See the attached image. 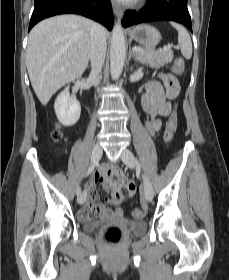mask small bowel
Instances as JSON below:
<instances>
[{
  "instance_id": "1",
  "label": "small bowel",
  "mask_w": 229,
  "mask_h": 280,
  "mask_svg": "<svg viewBox=\"0 0 229 280\" xmlns=\"http://www.w3.org/2000/svg\"><path fill=\"white\" fill-rule=\"evenodd\" d=\"M184 69V64L179 67L177 61L174 64V71L181 74ZM168 99H172L168 94L166 88L155 80L149 79L145 83V92L141 97V104L143 110L149 116L145 121V126L149 132L155 133L162 127V121L160 117H166L171 112V105ZM113 172L108 168H102L94 175V179L103 180L107 183L110 189V196L107 202L111 205L116 206L115 209L111 210L102 204L97 203L98 193L95 191L92 182H89L84 187V203L82 208L77 211V217L80 220H87L92 218V213L98 212L99 216L103 219L110 218H122L123 208L121 207L122 201V188L125 187L128 196H133L136 190V185L132 181L125 182H109L108 177Z\"/></svg>"
}]
</instances>
